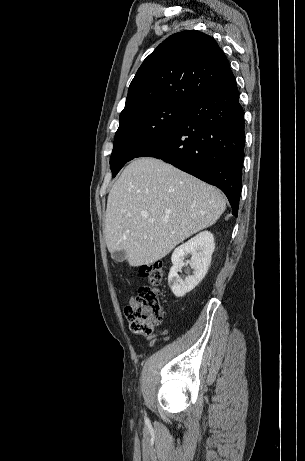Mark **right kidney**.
Wrapping results in <instances>:
<instances>
[{
  "label": "right kidney",
  "instance_id": "1",
  "mask_svg": "<svg viewBox=\"0 0 305 461\" xmlns=\"http://www.w3.org/2000/svg\"><path fill=\"white\" fill-rule=\"evenodd\" d=\"M214 249L213 234L203 231L174 250L171 256L173 266L168 275V285L176 297L185 296L202 281L208 271ZM187 254L192 255L190 264L194 271L192 275L182 279L178 272L186 265L184 257Z\"/></svg>",
  "mask_w": 305,
  "mask_h": 461
}]
</instances>
